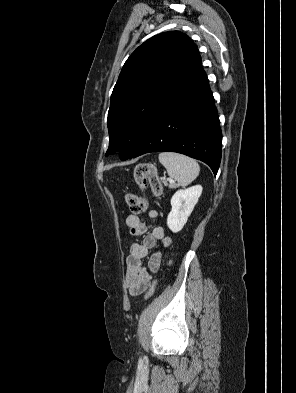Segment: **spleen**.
<instances>
[{"mask_svg": "<svg viewBox=\"0 0 296 393\" xmlns=\"http://www.w3.org/2000/svg\"><path fill=\"white\" fill-rule=\"evenodd\" d=\"M158 159L166 168L168 175L175 179L179 186H187L199 175V164L185 155L163 152L159 154Z\"/></svg>", "mask_w": 296, "mask_h": 393, "instance_id": "1", "label": "spleen"}]
</instances>
